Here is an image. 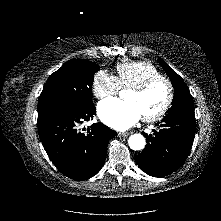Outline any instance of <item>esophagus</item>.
Returning a JSON list of instances; mask_svg holds the SVG:
<instances>
[{
	"label": "esophagus",
	"instance_id": "1",
	"mask_svg": "<svg viewBox=\"0 0 221 221\" xmlns=\"http://www.w3.org/2000/svg\"><path fill=\"white\" fill-rule=\"evenodd\" d=\"M129 134L130 133H128V132H119L118 137H127V136H129Z\"/></svg>",
	"mask_w": 221,
	"mask_h": 221
}]
</instances>
